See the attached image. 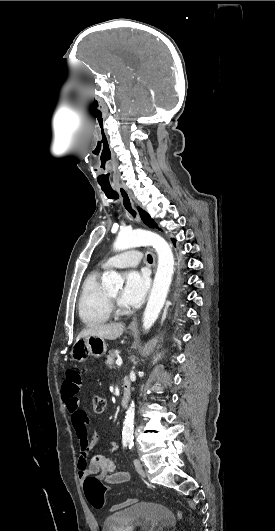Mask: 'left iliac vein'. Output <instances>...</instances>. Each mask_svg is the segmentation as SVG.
I'll use <instances>...</instances> for the list:
<instances>
[{"label":"left iliac vein","mask_w":275,"mask_h":531,"mask_svg":"<svg viewBox=\"0 0 275 531\" xmlns=\"http://www.w3.org/2000/svg\"><path fill=\"white\" fill-rule=\"evenodd\" d=\"M134 466H135V469L137 471V473L141 476V477H146V474H145V471L143 470V465H142V462L138 459H134Z\"/></svg>","instance_id":"left-iliac-vein-1"}]
</instances>
